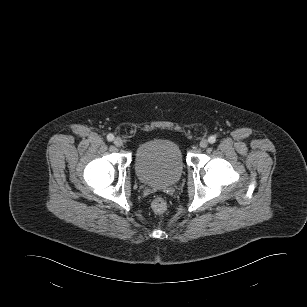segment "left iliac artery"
Returning <instances> with one entry per match:
<instances>
[{"instance_id": "left-iliac-artery-1", "label": "left iliac artery", "mask_w": 307, "mask_h": 307, "mask_svg": "<svg viewBox=\"0 0 307 307\" xmlns=\"http://www.w3.org/2000/svg\"><path fill=\"white\" fill-rule=\"evenodd\" d=\"M208 141H209V143L213 144V143H215V141H216V137H215V136H210V137L208 138Z\"/></svg>"}]
</instances>
